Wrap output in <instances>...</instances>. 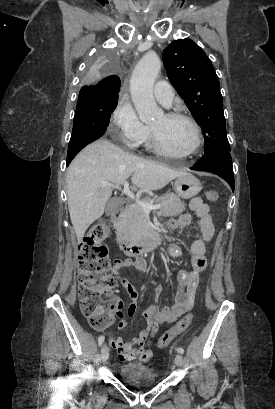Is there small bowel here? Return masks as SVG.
Returning a JSON list of instances; mask_svg holds the SVG:
<instances>
[{"mask_svg":"<svg viewBox=\"0 0 275 409\" xmlns=\"http://www.w3.org/2000/svg\"><path fill=\"white\" fill-rule=\"evenodd\" d=\"M190 210L195 214L198 219V226L201 235L195 237L191 242L188 250L190 257L191 268L189 270H181L178 273V280L180 282V289L177 291L175 296V301L172 306L159 307L156 303L151 304L143 312V317L147 323L143 327V331L140 333L139 337H114L112 334L107 336L109 340V345L112 351H117L116 358L118 360H146L148 364L152 358L153 353L148 348L144 347L146 344L149 345L151 342L146 341V335L157 332V325L161 323H172L176 321L178 317L187 312L193 305L196 297L197 288L199 285L200 273L205 269L206 260V244L211 241L214 234V224L213 218L210 213V206L201 197H195L190 202ZM191 223L190 214H182L178 217L175 222V227L178 229H184L188 227ZM169 254L172 258H177L180 254L176 247H171L169 249ZM132 268L138 273H142L146 269V263L144 260H138L131 262L128 260H119L114 265V272L116 274L120 273L122 268ZM119 283L124 285L129 296L132 299H137L138 292L128 278L122 276L119 278ZM163 287L157 285L154 288L155 301H158L161 297ZM118 308L124 307L123 301L117 302ZM137 311V305L135 303L131 304L127 309V315L133 316ZM126 316V311L124 309H119L117 311V326L119 328H126L128 326V321L126 319H121Z\"/></svg>","mask_w":275,"mask_h":409,"instance_id":"obj_1","label":"small bowel"}]
</instances>
